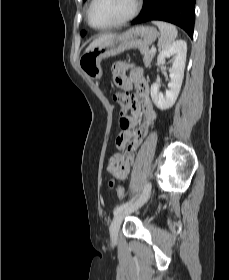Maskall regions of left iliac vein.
<instances>
[{"instance_id": "left-iliac-vein-1", "label": "left iliac vein", "mask_w": 229, "mask_h": 280, "mask_svg": "<svg viewBox=\"0 0 229 280\" xmlns=\"http://www.w3.org/2000/svg\"><path fill=\"white\" fill-rule=\"evenodd\" d=\"M150 192H151V183H147L142 194L136 200V202L133 205L129 206L128 208H125L122 211H120L117 215H115V217L110 225V236H111L112 242H116V240H117L118 232H119L121 223L123 221V218L126 215H128L129 213H131L132 211H135V210L139 209L140 207H142L144 205V203L147 201V199L150 195Z\"/></svg>"}]
</instances>
